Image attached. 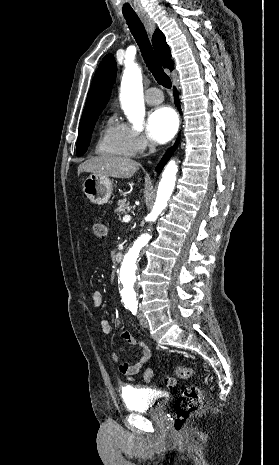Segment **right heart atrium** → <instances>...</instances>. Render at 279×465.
<instances>
[{
  "label": "right heart atrium",
  "instance_id": "obj_1",
  "mask_svg": "<svg viewBox=\"0 0 279 465\" xmlns=\"http://www.w3.org/2000/svg\"><path fill=\"white\" fill-rule=\"evenodd\" d=\"M125 129L133 154L140 153L150 146L148 139L143 133L133 129L128 125H125Z\"/></svg>",
  "mask_w": 279,
  "mask_h": 465
}]
</instances>
